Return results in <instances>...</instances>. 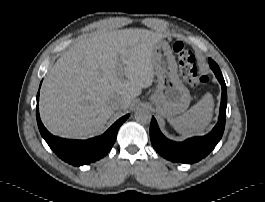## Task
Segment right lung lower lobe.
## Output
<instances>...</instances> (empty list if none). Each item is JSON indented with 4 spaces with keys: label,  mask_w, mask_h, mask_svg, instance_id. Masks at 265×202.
<instances>
[{
    "label": "right lung lower lobe",
    "mask_w": 265,
    "mask_h": 202,
    "mask_svg": "<svg viewBox=\"0 0 265 202\" xmlns=\"http://www.w3.org/2000/svg\"><path fill=\"white\" fill-rule=\"evenodd\" d=\"M39 93L37 94V123L42 137L59 158L74 166H81L104 157L112 148L119 127L129 117L117 120L103 135L88 140H68L50 134L41 122L39 115Z\"/></svg>",
    "instance_id": "98d812e1"
}]
</instances>
